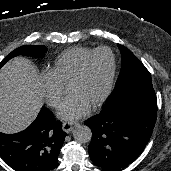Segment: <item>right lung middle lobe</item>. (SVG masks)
<instances>
[{"label":"right lung middle lobe","instance_id":"1","mask_svg":"<svg viewBox=\"0 0 171 171\" xmlns=\"http://www.w3.org/2000/svg\"><path fill=\"white\" fill-rule=\"evenodd\" d=\"M47 51V48L43 45H26L21 46L14 51H12L10 54H8L1 62H0V68L11 58L17 56V55H26V56H33L36 58L43 57Z\"/></svg>","mask_w":171,"mask_h":171}]
</instances>
